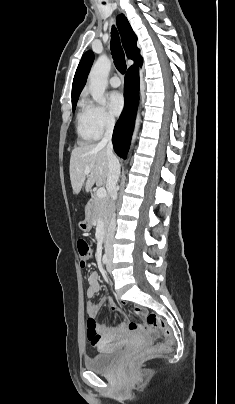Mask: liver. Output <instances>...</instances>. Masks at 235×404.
I'll return each instance as SVG.
<instances>
[{"label":"liver","mask_w":235,"mask_h":404,"mask_svg":"<svg viewBox=\"0 0 235 404\" xmlns=\"http://www.w3.org/2000/svg\"><path fill=\"white\" fill-rule=\"evenodd\" d=\"M90 168L91 172L85 174V169ZM70 180L73 193L77 194L85 186L89 192L96 183L102 186L107 181L108 159L105 145L89 144L76 147L70 157Z\"/></svg>","instance_id":"1"}]
</instances>
